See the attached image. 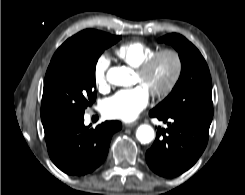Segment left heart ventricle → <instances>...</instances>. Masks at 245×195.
<instances>
[{
  "label": "left heart ventricle",
  "instance_id": "1",
  "mask_svg": "<svg viewBox=\"0 0 245 195\" xmlns=\"http://www.w3.org/2000/svg\"><path fill=\"white\" fill-rule=\"evenodd\" d=\"M173 60L170 56H162L152 67L149 73L141 78L136 74V83L142 85L148 92L162 89L173 73Z\"/></svg>",
  "mask_w": 245,
  "mask_h": 195
}]
</instances>
